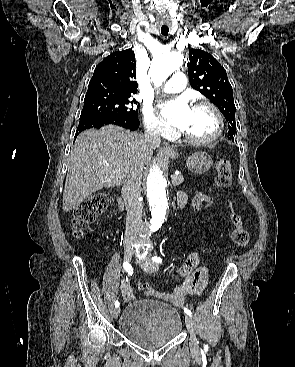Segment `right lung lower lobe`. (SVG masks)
I'll return each instance as SVG.
<instances>
[{"label": "right lung lower lobe", "instance_id": "98d812e1", "mask_svg": "<svg viewBox=\"0 0 295 367\" xmlns=\"http://www.w3.org/2000/svg\"><path fill=\"white\" fill-rule=\"evenodd\" d=\"M108 124L122 126L124 128L131 130H137L140 125V122L137 117H123V116L90 118L80 120L75 136H77L80 132H82L85 129L100 128Z\"/></svg>", "mask_w": 295, "mask_h": 367}]
</instances>
